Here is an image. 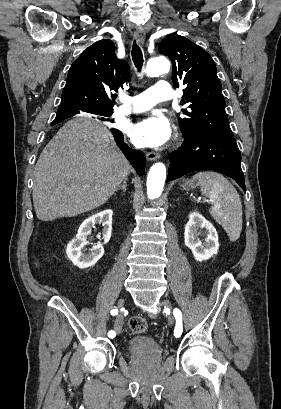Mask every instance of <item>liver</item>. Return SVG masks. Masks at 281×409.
I'll list each match as a JSON object with an SVG mask.
<instances>
[{"mask_svg":"<svg viewBox=\"0 0 281 409\" xmlns=\"http://www.w3.org/2000/svg\"><path fill=\"white\" fill-rule=\"evenodd\" d=\"M133 170L99 120L71 118L43 148L34 168L37 219L74 217L104 205Z\"/></svg>","mask_w":281,"mask_h":409,"instance_id":"6515ba94","label":"liver"}]
</instances>
